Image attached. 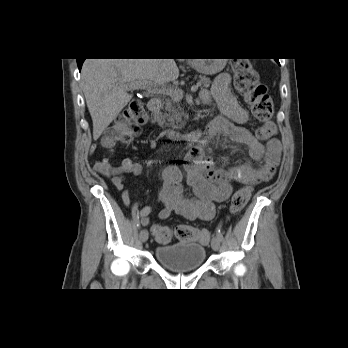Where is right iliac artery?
Here are the masks:
<instances>
[{
	"instance_id": "right-iliac-artery-1",
	"label": "right iliac artery",
	"mask_w": 348,
	"mask_h": 348,
	"mask_svg": "<svg viewBox=\"0 0 348 348\" xmlns=\"http://www.w3.org/2000/svg\"><path fill=\"white\" fill-rule=\"evenodd\" d=\"M138 203L136 201L132 202L133 207V220L138 228H140V216H139V209L137 208Z\"/></svg>"
}]
</instances>
